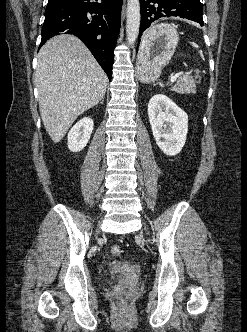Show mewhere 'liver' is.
I'll list each match as a JSON object with an SVG mask.
<instances>
[{"instance_id":"6515ba94","label":"liver","mask_w":247,"mask_h":332,"mask_svg":"<svg viewBox=\"0 0 247 332\" xmlns=\"http://www.w3.org/2000/svg\"><path fill=\"white\" fill-rule=\"evenodd\" d=\"M39 110L53 142H59L76 118L104 97L107 76L75 36L58 35L38 54L35 71Z\"/></svg>"}]
</instances>
